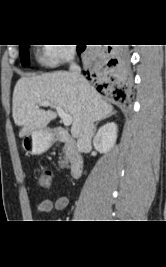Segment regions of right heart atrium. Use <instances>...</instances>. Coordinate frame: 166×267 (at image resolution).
Instances as JSON below:
<instances>
[{
	"label": "right heart atrium",
	"mask_w": 166,
	"mask_h": 267,
	"mask_svg": "<svg viewBox=\"0 0 166 267\" xmlns=\"http://www.w3.org/2000/svg\"><path fill=\"white\" fill-rule=\"evenodd\" d=\"M73 53L71 46L46 43L42 49L45 64L55 66L68 59Z\"/></svg>",
	"instance_id": "d8ad5b80"
}]
</instances>
